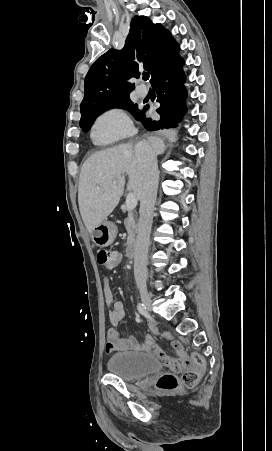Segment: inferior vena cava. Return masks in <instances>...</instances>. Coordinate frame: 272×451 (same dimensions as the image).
I'll list each match as a JSON object with an SVG mask.
<instances>
[{
	"mask_svg": "<svg viewBox=\"0 0 272 451\" xmlns=\"http://www.w3.org/2000/svg\"><path fill=\"white\" fill-rule=\"evenodd\" d=\"M137 160L143 168V190L140 198V220L134 249V277L137 285H146L147 253L157 196L159 172L154 150L147 142L135 146Z\"/></svg>",
	"mask_w": 272,
	"mask_h": 451,
	"instance_id": "inferior-vena-cava-1",
	"label": "inferior vena cava"
}]
</instances>
